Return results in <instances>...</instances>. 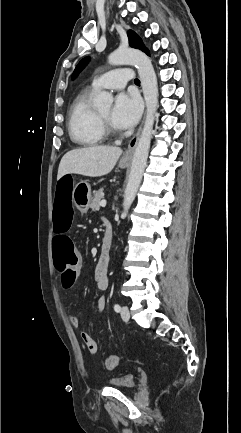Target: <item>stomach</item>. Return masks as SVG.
I'll return each mask as SVG.
<instances>
[{"instance_id":"obj_1","label":"stomach","mask_w":241,"mask_h":433,"mask_svg":"<svg viewBox=\"0 0 241 433\" xmlns=\"http://www.w3.org/2000/svg\"><path fill=\"white\" fill-rule=\"evenodd\" d=\"M128 165L129 162L123 160L119 162L120 168H126ZM91 199V188L87 182L81 181L73 186L71 201L77 210L80 212H86L92 201Z\"/></svg>"}]
</instances>
